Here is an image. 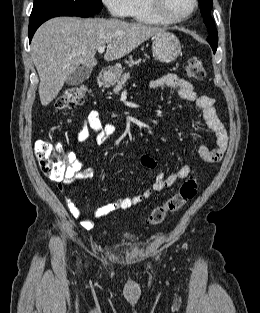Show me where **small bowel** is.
<instances>
[{"label":"small bowel","instance_id":"1","mask_svg":"<svg viewBox=\"0 0 260 313\" xmlns=\"http://www.w3.org/2000/svg\"><path fill=\"white\" fill-rule=\"evenodd\" d=\"M170 87L177 91L178 96L186 101L194 102L203 113V118L207 126L214 133L216 138V147L213 149L207 148L201 144L197 147V153L201 159L208 164H216L221 161L223 154L227 148L228 136L225 125L220 120L215 104L216 101L212 97L201 94L198 95L191 82L177 76L176 74L168 73L162 75L151 82L152 88ZM90 131H93L97 142L104 143L114 132L116 127L112 123H102L100 114L96 110H91L82 120L81 128L77 138L80 143H84L90 136ZM70 166L64 178L57 184L58 189L65 195L66 203L70 214L80 222L81 226L87 230H91L95 226V221L91 217H87L78 208L72 198L66 193V185L75 180H87L93 177L94 170L92 168H83L82 163L74 154H69ZM140 163L148 168L156 167V160L148 154L140 156ZM191 173L189 165H183L173 173L165 176L164 173H157L152 184V187L145 190L140 195H133L126 198H121L115 202L107 203L94 212L96 217L105 216L118 209L131 208L143 200L150 198L154 192H160L172 186L178 180L186 178Z\"/></svg>","mask_w":260,"mask_h":313}]
</instances>
